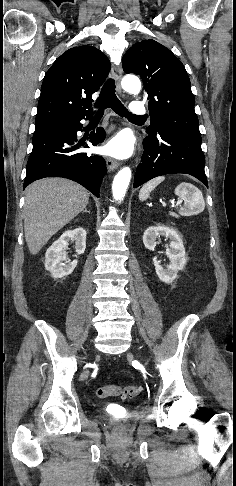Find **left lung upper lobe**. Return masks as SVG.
I'll list each match as a JSON object with an SVG mask.
<instances>
[{"label": "left lung upper lobe", "mask_w": 236, "mask_h": 486, "mask_svg": "<svg viewBox=\"0 0 236 486\" xmlns=\"http://www.w3.org/2000/svg\"><path fill=\"white\" fill-rule=\"evenodd\" d=\"M122 61L125 73L143 79L151 118L146 130L149 136L164 130L200 135L188 74L169 49L152 39L143 40L134 44Z\"/></svg>", "instance_id": "5c2ea615"}]
</instances>
